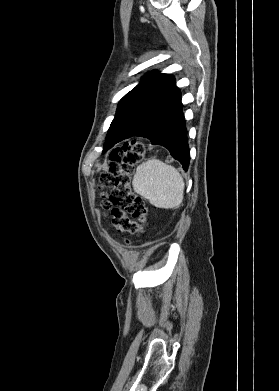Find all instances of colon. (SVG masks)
Instances as JSON below:
<instances>
[{"mask_svg": "<svg viewBox=\"0 0 279 391\" xmlns=\"http://www.w3.org/2000/svg\"><path fill=\"white\" fill-rule=\"evenodd\" d=\"M145 152L144 144L139 141L124 143L111 153L108 169L101 177L102 185L111 188L104 195L102 206L119 232L140 235L145 229L147 205L131 188V177Z\"/></svg>", "mask_w": 279, "mask_h": 391, "instance_id": "obj_1", "label": "colon"}]
</instances>
